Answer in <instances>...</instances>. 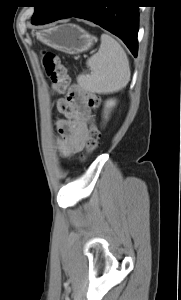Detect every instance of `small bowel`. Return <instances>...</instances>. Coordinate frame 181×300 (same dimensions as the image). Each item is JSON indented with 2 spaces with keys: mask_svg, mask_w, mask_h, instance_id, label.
<instances>
[{
  "mask_svg": "<svg viewBox=\"0 0 181 300\" xmlns=\"http://www.w3.org/2000/svg\"><path fill=\"white\" fill-rule=\"evenodd\" d=\"M66 98L57 102L58 110L67 103ZM88 107L81 103L73 109L70 117L59 119L56 123L59 138L57 139V149L63 156H70L77 153L83 146L87 126Z\"/></svg>",
  "mask_w": 181,
  "mask_h": 300,
  "instance_id": "small-bowel-1",
  "label": "small bowel"
}]
</instances>
